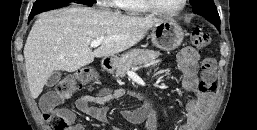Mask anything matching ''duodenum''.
Wrapping results in <instances>:
<instances>
[{"label": "duodenum", "instance_id": "410a0bca", "mask_svg": "<svg viewBox=\"0 0 257 130\" xmlns=\"http://www.w3.org/2000/svg\"><path fill=\"white\" fill-rule=\"evenodd\" d=\"M103 67L107 71L111 70L112 69V61L109 59L105 60L103 63Z\"/></svg>", "mask_w": 257, "mask_h": 130}]
</instances>
